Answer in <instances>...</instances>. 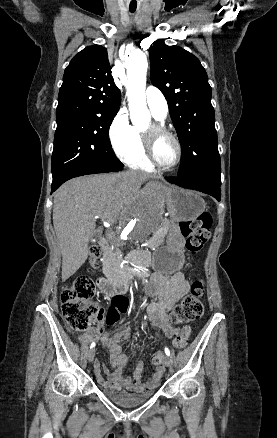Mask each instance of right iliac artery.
I'll use <instances>...</instances> for the list:
<instances>
[{"mask_svg": "<svg viewBox=\"0 0 277 438\" xmlns=\"http://www.w3.org/2000/svg\"><path fill=\"white\" fill-rule=\"evenodd\" d=\"M93 347H95V342H92L90 345V348H93Z\"/></svg>", "mask_w": 277, "mask_h": 438, "instance_id": "right-iliac-artery-1", "label": "right iliac artery"}]
</instances>
